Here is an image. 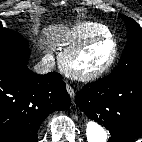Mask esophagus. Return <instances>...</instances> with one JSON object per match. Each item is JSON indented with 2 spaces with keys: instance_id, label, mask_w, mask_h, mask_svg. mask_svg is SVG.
<instances>
[{
  "instance_id": "34e87169",
  "label": "esophagus",
  "mask_w": 142,
  "mask_h": 142,
  "mask_svg": "<svg viewBox=\"0 0 142 142\" xmlns=\"http://www.w3.org/2000/svg\"><path fill=\"white\" fill-rule=\"evenodd\" d=\"M66 90L71 98H74L75 91L70 85H66Z\"/></svg>"
}]
</instances>
